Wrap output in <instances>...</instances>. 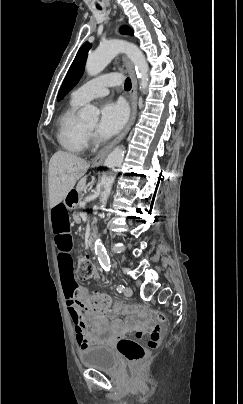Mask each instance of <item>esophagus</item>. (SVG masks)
<instances>
[{"label": "esophagus", "instance_id": "34e87169", "mask_svg": "<svg viewBox=\"0 0 243 404\" xmlns=\"http://www.w3.org/2000/svg\"><path fill=\"white\" fill-rule=\"evenodd\" d=\"M123 63L128 70V73L130 75L131 81H132V89L130 91V100H131V115L130 118L120 133L118 137H116L112 142H109V144L104 145L101 150L96 154V156L93 159V163L96 165H101L110 150L118 144L124 137L128 134L129 130L131 129L135 119H136V114H137V103H138V87H137V78L135 75L134 67L132 63L125 57H122Z\"/></svg>", "mask_w": 243, "mask_h": 404}]
</instances>
